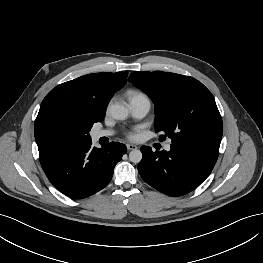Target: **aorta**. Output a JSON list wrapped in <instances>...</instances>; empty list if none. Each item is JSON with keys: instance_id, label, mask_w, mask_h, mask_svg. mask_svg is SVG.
<instances>
[{"instance_id": "aorta-1", "label": "aorta", "mask_w": 263, "mask_h": 263, "mask_svg": "<svg viewBox=\"0 0 263 263\" xmlns=\"http://www.w3.org/2000/svg\"><path fill=\"white\" fill-rule=\"evenodd\" d=\"M110 114L113 118L117 120H124L129 115V110L126 106L122 104H113L110 106ZM129 159L133 163H139L142 159V153L138 149H133L129 153Z\"/></svg>"}]
</instances>
